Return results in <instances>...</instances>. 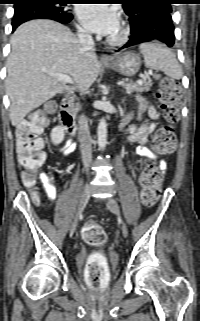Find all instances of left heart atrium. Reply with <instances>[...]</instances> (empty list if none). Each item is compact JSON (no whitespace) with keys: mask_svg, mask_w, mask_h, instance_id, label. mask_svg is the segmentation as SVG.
<instances>
[{"mask_svg":"<svg viewBox=\"0 0 200 321\" xmlns=\"http://www.w3.org/2000/svg\"><path fill=\"white\" fill-rule=\"evenodd\" d=\"M77 15L90 32L110 36L119 29V15L107 4H82L77 8Z\"/></svg>","mask_w":200,"mask_h":321,"instance_id":"39dd6f15","label":"left heart atrium"}]
</instances>
